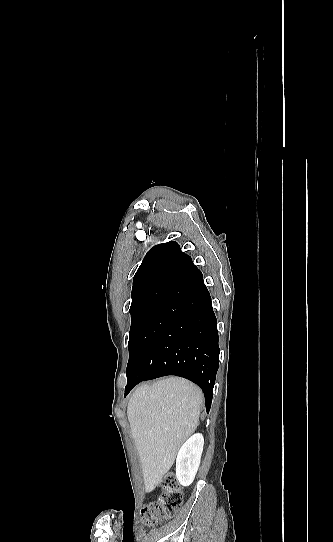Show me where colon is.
<instances>
[{
  "label": "colon",
  "instance_id": "colon-1",
  "mask_svg": "<svg viewBox=\"0 0 333 542\" xmlns=\"http://www.w3.org/2000/svg\"><path fill=\"white\" fill-rule=\"evenodd\" d=\"M162 492L154 501L146 503L142 510L144 523L154 525L170 518L181 507L183 494L173 474L165 475L161 480Z\"/></svg>",
  "mask_w": 333,
  "mask_h": 542
}]
</instances>
